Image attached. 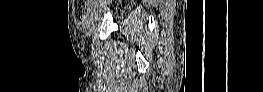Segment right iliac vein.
Masks as SVG:
<instances>
[{"instance_id": "63e3f726", "label": "right iliac vein", "mask_w": 263, "mask_h": 92, "mask_svg": "<svg viewBox=\"0 0 263 92\" xmlns=\"http://www.w3.org/2000/svg\"><path fill=\"white\" fill-rule=\"evenodd\" d=\"M93 5H96V2H93ZM97 14L96 6H93L90 10V14L88 15V19L86 20L87 34L91 35L93 31V18Z\"/></svg>"}]
</instances>
